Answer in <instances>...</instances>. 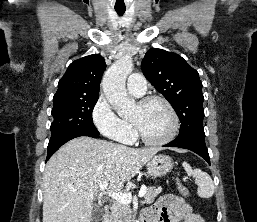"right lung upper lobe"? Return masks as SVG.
<instances>
[{
  "label": "right lung upper lobe",
  "instance_id": "right-lung-upper-lobe-1",
  "mask_svg": "<svg viewBox=\"0 0 257 222\" xmlns=\"http://www.w3.org/2000/svg\"><path fill=\"white\" fill-rule=\"evenodd\" d=\"M105 68V60L99 54L73 61L59 80L53 102L99 96L101 77Z\"/></svg>",
  "mask_w": 257,
  "mask_h": 222
}]
</instances>
